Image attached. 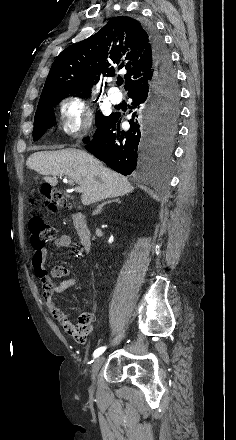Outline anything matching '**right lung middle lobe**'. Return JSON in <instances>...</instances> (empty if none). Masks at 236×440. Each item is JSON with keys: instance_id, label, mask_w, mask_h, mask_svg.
<instances>
[{"instance_id": "dd1d6c3e", "label": "right lung middle lobe", "mask_w": 236, "mask_h": 440, "mask_svg": "<svg viewBox=\"0 0 236 440\" xmlns=\"http://www.w3.org/2000/svg\"><path fill=\"white\" fill-rule=\"evenodd\" d=\"M154 96L162 104V110L160 115V129L158 131L159 144L164 146V151L157 161V164L162 163L170 153V144L175 134V122L178 116V100L179 89L175 82L167 84L157 85L154 88ZM63 93L52 95L39 100L37 111L34 118V136L33 140L39 139L48 128L56 124L54 122L55 116L53 107L64 97ZM88 93L79 94V96H85ZM106 116L97 112L96 114V126L100 125Z\"/></svg>"}]
</instances>
